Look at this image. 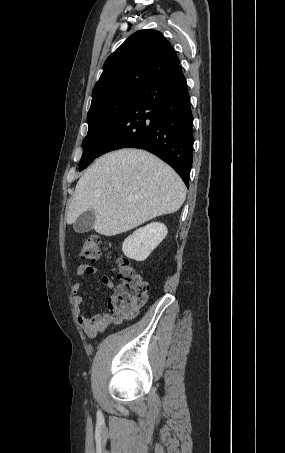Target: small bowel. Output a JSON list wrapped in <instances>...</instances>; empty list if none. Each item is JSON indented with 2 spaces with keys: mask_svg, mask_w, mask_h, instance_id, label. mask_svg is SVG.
I'll return each mask as SVG.
<instances>
[{
  "mask_svg": "<svg viewBox=\"0 0 285 453\" xmlns=\"http://www.w3.org/2000/svg\"><path fill=\"white\" fill-rule=\"evenodd\" d=\"M98 273L99 269L92 265H80L77 269L78 276L96 275ZM101 281L107 288H113V282L109 276H102ZM82 287V283H76L72 286V291L74 293L73 302L78 323L87 337L95 338L98 334L103 333L111 324H118L125 318L120 312L114 297L108 299V313L100 312L92 316L85 315L83 312L84 299L79 294Z\"/></svg>",
  "mask_w": 285,
  "mask_h": 453,
  "instance_id": "small-bowel-1",
  "label": "small bowel"
}]
</instances>
